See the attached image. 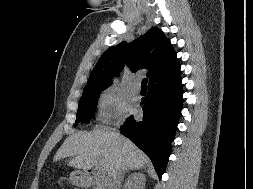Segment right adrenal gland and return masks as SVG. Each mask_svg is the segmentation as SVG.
I'll return each instance as SVG.
<instances>
[{
	"instance_id": "obj_1",
	"label": "right adrenal gland",
	"mask_w": 253,
	"mask_h": 189,
	"mask_svg": "<svg viewBox=\"0 0 253 189\" xmlns=\"http://www.w3.org/2000/svg\"><path fill=\"white\" fill-rule=\"evenodd\" d=\"M131 170H133V169H129L128 171H126V172H130ZM136 170H138V169H136ZM122 181H123V179H122Z\"/></svg>"
}]
</instances>
